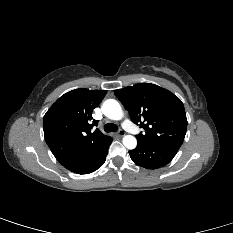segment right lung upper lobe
<instances>
[{
    "label": "right lung upper lobe",
    "mask_w": 233,
    "mask_h": 233,
    "mask_svg": "<svg viewBox=\"0 0 233 233\" xmlns=\"http://www.w3.org/2000/svg\"><path fill=\"white\" fill-rule=\"evenodd\" d=\"M106 90L75 89L61 96L44 116V137L56 159L68 170L76 171L109 139L92 121V111Z\"/></svg>",
    "instance_id": "obj_1"
}]
</instances>
